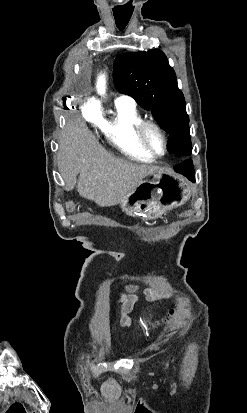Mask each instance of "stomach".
I'll return each mask as SVG.
<instances>
[{
	"mask_svg": "<svg viewBox=\"0 0 247 413\" xmlns=\"http://www.w3.org/2000/svg\"><path fill=\"white\" fill-rule=\"evenodd\" d=\"M191 196V184L187 178L160 168L151 172L147 180H140L131 192L123 196L119 204L129 217L158 219L165 211L182 207Z\"/></svg>",
	"mask_w": 247,
	"mask_h": 413,
	"instance_id": "stomach-1",
	"label": "stomach"
}]
</instances>
